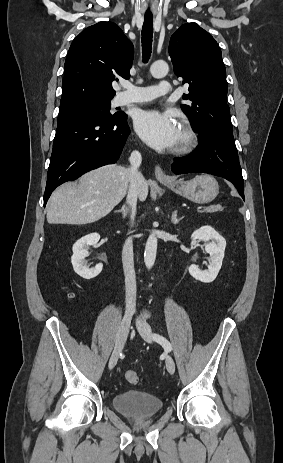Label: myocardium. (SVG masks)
<instances>
[{
  "mask_svg": "<svg viewBox=\"0 0 283 463\" xmlns=\"http://www.w3.org/2000/svg\"><path fill=\"white\" fill-rule=\"evenodd\" d=\"M179 131L181 138L176 143L173 152L176 154H183L194 149L198 142V137L194 128L187 121L179 123Z\"/></svg>",
  "mask_w": 283,
  "mask_h": 463,
  "instance_id": "f54148a6",
  "label": "myocardium"
}]
</instances>
